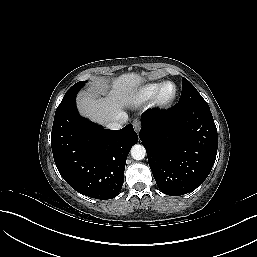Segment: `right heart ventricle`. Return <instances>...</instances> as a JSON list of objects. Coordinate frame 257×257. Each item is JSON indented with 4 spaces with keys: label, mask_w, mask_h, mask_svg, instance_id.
<instances>
[{
    "label": "right heart ventricle",
    "mask_w": 257,
    "mask_h": 257,
    "mask_svg": "<svg viewBox=\"0 0 257 257\" xmlns=\"http://www.w3.org/2000/svg\"><path fill=\"white\" fill-rule=\"evenodd\" d=\"M165 82H153V83H148L140 88H138L131 96L130 100L134 103H143L149 99H151L157 91L161 88V86Z\"/></svg>",
    "instance_id": "1"
}]
</instances>
